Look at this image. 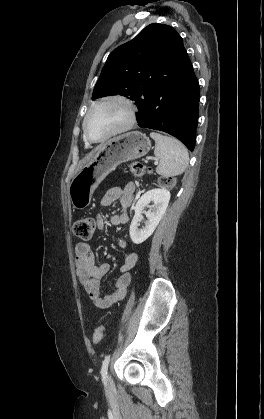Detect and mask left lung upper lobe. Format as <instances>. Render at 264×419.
Wrapping results in <instances>:
<instances>
[{"label": "left lung upper lobe", "mask_w": 264, "mask_h": 419, "mask_svg": "<svg viewBox=\"0 0 264 419\" xmlns=\"http://www.w3.org/2000/svg\"><path fill=\"white\" fill-rule=\"evenodd\" d=\"M179 34L168 25L153 23L133 40L110 53L93 91V99L123 95L144 104L151 85L168 77L182 46Z\"/></svg>", "instance_id": "obj_1"}]
</instances>
